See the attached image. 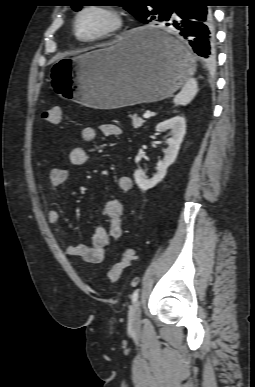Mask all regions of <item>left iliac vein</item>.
<instances>
[{"label": "left iliac vein", "instance_id": "obj_1", "mask_svg": "<svg viewBox=\"0 0 255 387\" xmlns=\"http://www.w3.org/2000/svg\"><path fill=\"white\" fill-rule=\"evenodd\" d=\"M141 323V307L140 302L136 301L129 311V328L138 329Z\"/></svg>", "mask_w": 255, "mask_h": 387}]
</instances>
